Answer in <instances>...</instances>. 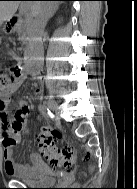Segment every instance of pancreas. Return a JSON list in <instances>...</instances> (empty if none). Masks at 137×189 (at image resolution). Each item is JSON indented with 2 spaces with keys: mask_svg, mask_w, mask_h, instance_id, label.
<instances>
[{
  "mask_svg": "<svg viewBox=\"0 0 137 189\" xmlns=\"http://www.w3.org/2000/svg\"><path fill=\"white\" fill-rule=\"evenodd\" d=\"M19 40L23 41L24 43L26 42V38L23 34L19 36Z\"/></svg>",
  "mask_w": 137,
  "mask_h": 189,
  "instance_id": "cf45deb5",
  "label": "pancreas"
}]
</instances>
